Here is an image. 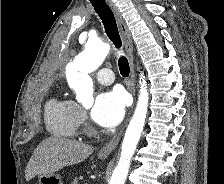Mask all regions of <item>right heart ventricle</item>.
Returning a JSON list of instances; mask_svg holds the SVG:
<instances>
[{"label":"right heart ventricle","mask_w":224,"mask_h":184,"mask_svg":"<svg viewBox=\"0 0 224 184\" xmlns=\"http://www.w3.org/2000/svg\"><path fill=\"white\" fill-rule=\"evenodd\" d=\"M45 123L55 136L74 137L80 125L78 105L62 96L52 98L46 105Z\"/></svg>","instance_id":"e07e8e85"}]
</instances>
